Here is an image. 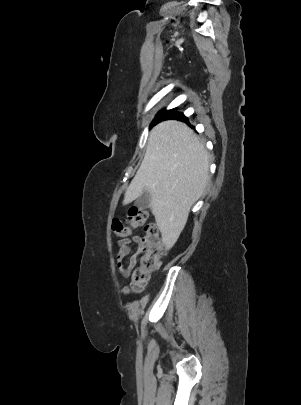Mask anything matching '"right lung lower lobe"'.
<instances>
[{
  "instance_id": "98d812e1",
  "label": "right lung lower lobe",
  "mask_w": 301,
  "mask_h": 405,
  "mask_svg": "<svg viewBox=\"0 0 301 405\" xmlns=\"http://www.w3.org/2000/svg\"><path fill=\"white\" fill-rule=\"evenodd\" d=\"M169 119H179V120H183V121L187 122V118L182 114L178 115V116L171 117Z\"/></svg>"
}]
</instances>
